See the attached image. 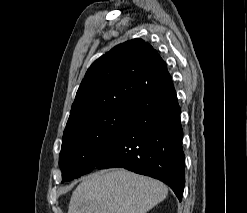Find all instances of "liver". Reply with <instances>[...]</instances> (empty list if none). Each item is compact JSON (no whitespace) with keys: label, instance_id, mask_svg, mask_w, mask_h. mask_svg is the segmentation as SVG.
<instances>
[{"label":"liver","instance_id":"6515ba94","mask_svg":"<svg viewBox=\"0 0 247 213\" xmlns=\"http://www.w3.org/2000/svg\"><path fill=\"white\" fill-rule=\"evenodd\" d=\"M168 194L162 182L116 168L85 177L73 191L68 213H146Z\"/></svg>","mask_w":247,"mask_h":213}]
</instances>
